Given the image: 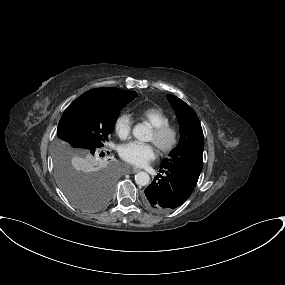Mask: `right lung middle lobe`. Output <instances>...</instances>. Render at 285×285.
I'll return each instance as SVG.
<instances>
[{
  "instance_id": "dd1d6c3e",
  "label": "right lung middle lobe",
  "mask_w": 285,
  "mask_h": 285,
  "mask_svg": "<svg viewBox=\"0 0 285 285\" xmlns=\"http://www.w3.org/2000/svg\"><path fill=\"white\" fill-rule=\"evenodd\" d=\"M137 96L134 91L119 89L84 93L63 113L54 167L60 188L75 206L96 211L109 202L113 172L109 166H99L94 158L108 141L120 111Z\"/></svg>"
}]
</instances>
